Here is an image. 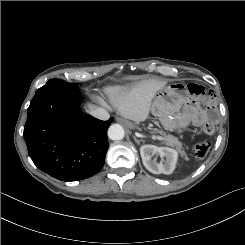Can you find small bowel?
<instances>
[{
	"instance_id": "1",
	"label": "small bowel",
	"mask_w": 245,
	"mask_h": 245,
	"mask_svg": "<svg viewBox=\"0 0 245 245\" xmlns=\"http://www.w3.org/2000/svg\"><path fill=\"white\" fill-rule=\"evenodd\" d=\"M187 91L192 98L205 101V103L209 106L215 105L218 101V97L213 90L204 88L198 83H189L187 85ZM207 118L208 113L205 110L200 109L198 106H195L194 123L196 125H200Z\"/></svg>"
}]
</instances>
